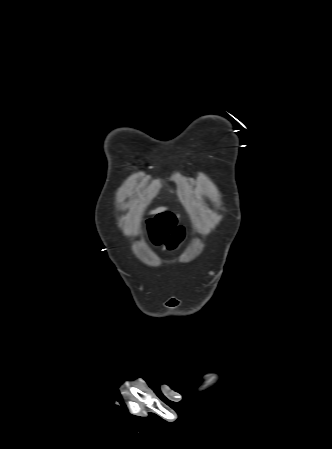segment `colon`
Returning <instances> with one entry per match:
<instances>
[{
    "label": "colon",
    "instance_id": "1",
    "mask_svg": "<svg viewBox=\"0 0 332 449\" xmlns=\"http://www.w3.org/2000/svg\"><path fill=\"white\" fill-rule=\"evenodd\" d=\"M150 235L155 245H165L172 250L180 244L184 238V229L177 224L175 216L166 212L158 215L149 222Z\"/></svg>",
    "mask_w": 332,
    "mask_h": 449
}]
</instances>
